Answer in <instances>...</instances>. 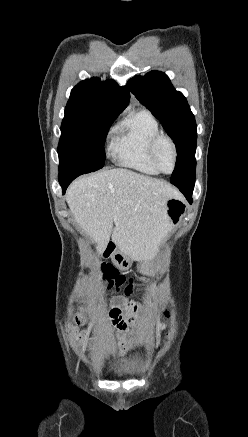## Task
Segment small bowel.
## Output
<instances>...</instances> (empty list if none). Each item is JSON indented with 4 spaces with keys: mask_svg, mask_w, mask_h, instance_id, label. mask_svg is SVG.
Returning <instances> with one entry per match:
<instances>
[{
    "mask_svg": "<svg viewBox=\"0 0 248 437\" xmlns=\"http://www.w3.org/2000/svg\"><path fill=\"white\" fill-rule=\"evenodd\" d=\"M112 301L114 305H109L107 307V312L109 313V317L112 320V324L116 329L123 332L124 334H129L131 330L130 321L125 317L126 307L129 312H136L138 306L134 302H127L126 294H113ZM131 344L126 342L124 339H121L119 344L118 353L120 355H124L127 351H129Z\"/></svg>",
    "mask_w": 248,
    "mask_h": 437,
    "instance_id": "obj_1",
    "label": "small bowel"
}]
</instances>
